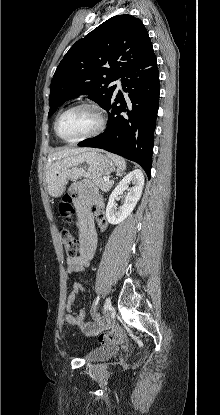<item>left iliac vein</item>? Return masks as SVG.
Instances as JSON below:
<instances>
[{"instance_id":"4c4485c4","label":"left iliac vein","mask_w":220,"mask_h":415,"mask_svg":"<svg viewBox=\"0 0 220 415\" xmlns=\"http://www.w3.org/2000/svg\"><path fill=\"white\" fill-rule=\"evenodd\" d=\"M103 307H104L103 309H104V312L105 313L108 312L111 309L112 303H111V298L110 297H107L106 298Z\"/></svg>"}]
</instances>
